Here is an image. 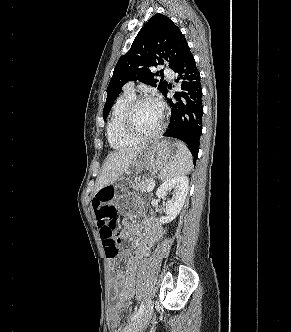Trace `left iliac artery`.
Segmentation results:
<instances>
[{
    "label": "left iliac artery",
    "instance_id": "obj_1",
    "mask_svg": "<svg viewBox=\"0 0 291 332\" xmlns=\"http://www.w3.org/2000/svg\"><path fill=\"white\" fill-rule=\"evenodd\" d=\"M144 308H145V306H144V303L142 302L138 311L131 317L130 321H133L136 318H138L143 313Z\"/></svg>",
    "mask_w": 291,
    "mask_h": 332
}]
</instances>
